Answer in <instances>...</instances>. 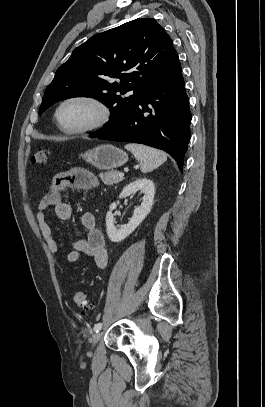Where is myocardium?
Returning <instances> with one entry per match:
<instances>
[{"label": "myocardium", "instance_id": "1", "mask_svg": "<svg viewBox=\"0 0 265 407\" xmlns=\"http://www.w3.org/2000/svg\"><path fill=\"white\" fill-rule=\"evenodd\" d=\"M81 102L92 106L96 110V117L89 123L73 127L63 124L60 120L61 110L69 103ZM111 119L110 107L100 98L88 94H74L62 99L54 111V120L60 131L69 135L91 133L105 127Z\"/></svg>", "mask_w": 265, "mask_h": 407}]
</instances>
